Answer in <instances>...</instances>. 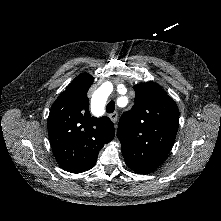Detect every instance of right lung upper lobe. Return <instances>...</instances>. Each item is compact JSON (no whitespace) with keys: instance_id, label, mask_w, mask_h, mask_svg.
I'll use <instances>...</instances> for the list:
<instances>
[{"instance_id":"obj_1","label":"right lung upper lobe","mask_w":221,"mask_h":221,"mask_svg":"<svg viewBox=\"0 0 221 221\" xmlns=\"http://www.w3.org/2000/svg\"><path fill=\"white\" fill-rule=\"evenodd\" d=\"M93 80L90 74L77 76L54 102L48 118V135L55 158L71 173L90 170L101 148L115 136L108 117L96 118L89 112L87 92Z\"/></svg>"}]
</instances>
